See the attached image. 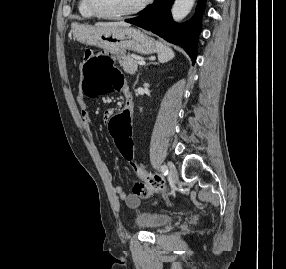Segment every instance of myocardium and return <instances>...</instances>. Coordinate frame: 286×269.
<instances>
[{
  "mask_svg": "<svg viewBox=\"0 0 286 269\" xmlns=\"http://www.w3.org/2000/svg\"><path fill=\"white\" fill-rule=\"evenodd\" d=\"M152 1L153 0H143L137 7L129 11L117 13V14H108V13L102 12L101 10L97 8L95 4V0H87V4H88L90 11L96 17H99L102 19H123V18H128V17L141 13L152 3Z\"/></svg>",
  "mask_w": 286,
  "mask_h": 269,
  "instance_id": "1",
  "label": "myocardium"
}]
</instances>
